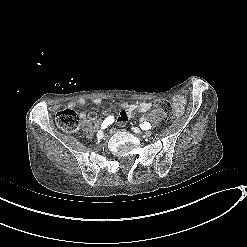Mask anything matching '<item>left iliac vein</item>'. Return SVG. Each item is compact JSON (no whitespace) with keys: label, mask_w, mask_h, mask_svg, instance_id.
I'll return each mask as SVG.
<instances>
[{"label":"left iliac vein","mask_w":247,"mask_h":247,"mask_svg":"<svg viewBox=\"0 0 247 247\" xmlns=\"http://www.w3.org/2000/svg\"><path fill=\"white\" fill-rule=\"evenodd\" d=\"M132 130L136 134H141L142 133V131L138 127H132Z\"/></svg>","instance_id":"left-iliac-vein-1"}]
</instances>
